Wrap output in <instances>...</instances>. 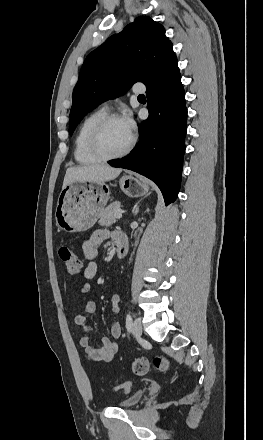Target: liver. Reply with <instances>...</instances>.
Returning a JSON list of instances; mask_svg holds the SVG:
<instances>
[{
    "label": "liver",
    "mask_w": 263,
    "mask_h": 440,
    "mask_svg": "<svg viewBox=\"0 0 263 440\" xmlns=\"http://www.w3.org/2000/svg\"><path fill=\"white\" fill-rule=\"evenodd\" d=\"M120 168H113L107 164H92L70 167L66 170L63 187L76 181L100 184L113 180L121 173Z\"/></svg>",
    "instance_id": "1"
}]
</instances>
